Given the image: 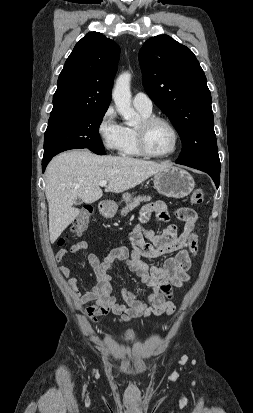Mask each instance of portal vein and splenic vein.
<instances>
[{
  "label": "portal vein and splenic vein",
  "instance_id": "1",
  "mask_svg": "<svg viewBox=\"0 0 253 413\" xmlns=\"http://www.w3.org/2000/svg\"><path fill=\"white\" fill-rule=\"evenodd\" d=\"M106 185H107L106 181H100L99 182V186H101V187H106Z\"/></svg>",
  "mask_w": 253,
  "mask_h": 413
}]
</instances>
